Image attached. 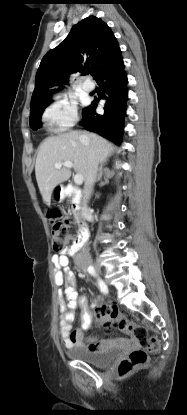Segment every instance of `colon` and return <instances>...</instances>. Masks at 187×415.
Returning <instances> with one entry per match:
<instances>
[{
  "mask_svg": "<svg viewBox=\"0 0 187 415\" xmlns=\"http://www.w3.org/2000/svg\"><path fill=\"white\" fill-rule=\"evenodd\" d=\"M51 232L53 237V249L57 252L72 250L79 239L78 230L72 223L62 216L58 208L51 210ZM98 318L102 321L108 332L118 330L140 344L133 349L118 366L120 376H127L148 360V353L157 352L160 346L156 336L149 335L147 329L129 321L117 308L102 306L97 311Z\"/></svg>",
  "mask_w": 187,
  "mask_h": 415,
  "instance_id": "1",
  "label": "colon"
}]
</instances>
